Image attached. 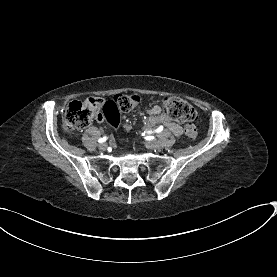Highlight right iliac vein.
Returning a JSON list of instances; mask_svg holds the SVG:
<instances>
[{
	"instance_id": "right-iliac-vein-1",
	"label": "right iliac vein",
	"mask_w": 277,
	"mask_h": 277,
	"mask_svg": "<svg viewBox=\"0 0 277 277\" xmlns=\"http://www.w3.org/2000/svg\"><path fill=\"white\" fill-rule=\"evenodd\" d=\"M98 147H99V150L105 151L106 148H107V144L106 143H101Z\"/></svg>"
}]
</instances>
